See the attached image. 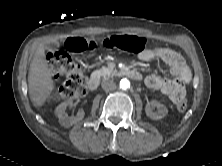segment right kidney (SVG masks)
Segmentation results:
<instances>
[{"label":"right kidney","mask_w":222,"mask_h":166,"mask_svg":"<svg viewBox=\"0 0 222 166\" xmlns=\"http://www.w3.org/2000/svg\"><path fill=\"white\" fill-rule=\"evenodd\" d=\"M71 104L72 101L68 100L59 104L55 109V114L59 118V123L66 128L71 127L72 125L82 120L85 114L84 111L81 109L78 111L75 117H68V115L65 113V109Z\"/></svg>","instance_id":"1"}]
</instances>
